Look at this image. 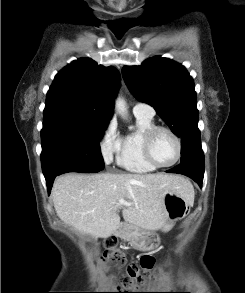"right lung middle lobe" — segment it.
<instances>
[{"mask_svg":"<svg viewBox=\"0 0 245 293\" xmlns=\"http://www.w3.org/2000/svg\"><path fill=\"white\" fill-rule=\"evenodd\" d=\"M106 123L83 118L47 116L41 131V163L45 178L65 167L102 170L105 165L99 140Z\"/></svg>","mask_w":245,"mask_h":293,"instance_id":"obj_1","label":"right lung middle lobe"}]
</instances>
